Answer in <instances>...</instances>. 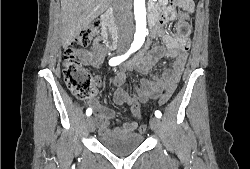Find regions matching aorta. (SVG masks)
Masks as SVG:
<instances>
[{
	"label": "aorta",
	"mask_w": 250,
	"mask_h": 169,
	"mask_svg": "<svg viewBox=\"0 0 250 169\" xmlns=\"http://www.w3.org/2000/svg\"><path fill=\"white\" fill-rule=\"evenodd\" d=\"M134 14L136 20L135 38L143 42L146 36V8L145 0H134Z\"/></svg>",
	"instance_id": "aorta-1"
}]
</instances>
